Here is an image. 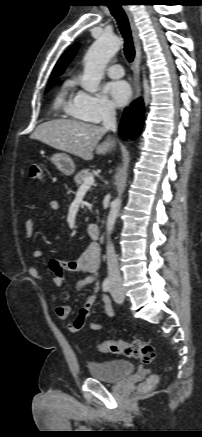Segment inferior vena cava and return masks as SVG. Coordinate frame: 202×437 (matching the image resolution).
I'll return each mask as SVG.
<instances>
[{"instance_id":"obj_1","label":"inferior vena cava","mask_w":202,"mask_h":437,"mask_svg":"<svg viewBox=\"0 0 202 437\" xmlns=\"http://www.w3.org/2000/svg\"><path fill=\"white\" fill-rule=\"evenodd\" d=\"M103 127L106 130L115 132L117 130L116 113L115 109L111 106L105 108L103 112ZM107 265H108V278L111 282L121 281V275L118 266V259L115 253L113 245L109 242L107 245Z\"/></svg>"}]
</instances>
